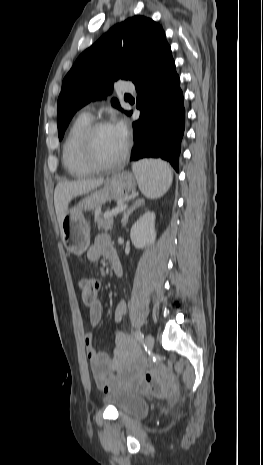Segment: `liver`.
<instances>
[{
  "instance_id": "liver-1",
  "label": "liver",
  "mask_w": 263,
  "mask_h": 465,
  "mask_svg": "<svg viewBox=\"0 0 263 465\" xmlns=\"http://www.w3.org/2000/svg\"><path fill=\"white\" fill-rule=\"evenodd\" d=\"M104 183L103 178L59 182L54 191V205L59 226L65 216L70 201L79 195L86 194Z\"/></svg>"
}]
</instances>
